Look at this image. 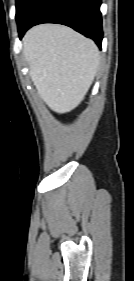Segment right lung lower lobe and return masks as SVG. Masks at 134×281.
<instances>
[{
  "label": "right lung lower lobe",
  "mask_w": 134,
  "mask_h": 281,
  "mask_svg": "<svg viewBox=\"0 0 134 281\" xmlns=\"http://www.w3.org/2000/svg\"><path fill=\"white\" fill-rule=\"evenodd\" d=\"M100 5L101 0H34L18 26L19 37L36 24L57 23L90 37L101 48Z\"/></svg>",
  "instance_id": "98d812e1"
}]
</instances>
